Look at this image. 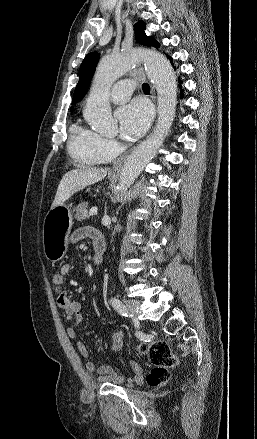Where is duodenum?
I'll use <instances>...</instances> for the list:
<instances>
[{
    "label": "duodenum",
    "mask_w": 257,
    "mask_h": 439,
    "mask_svg": "<svg viewBox=\"0 0 257 439\" xmlns=\"http://www.w3.org/2000/svg\"><path fill=\"white\" fill-rule=\"evenodd\" d=\"M105 248H106V245H105V242L103 240H97L93 244V251H94L93 260L96 264L101 263L103 254L105 252Z\"/></svg>",
    "instance_id": "obj_1"
}]
</instances>
